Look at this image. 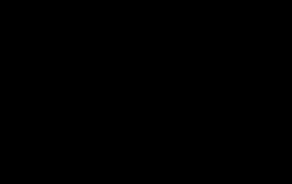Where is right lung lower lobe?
<instances>
[{
    "instance_id": "98d812e1",
    "label": "right lung lower lobe",
    "mask_w": 292,
    "mask_h": 184,
    "mask_svg": "<svg viewBox=\"0 0 292 184\" xmlns=\"http://www.w3.org/2000/svg\"><path fill=\"white\" fill-rule=\"evenodd\" d=\"M138 86L139 83L136 82L121 88L111 97L109 102L97 115L91 117V120H89L90 122L76 126L75 134L79 139L78 144L82 148L99 149L111 141L110 138H98L100 135H97V132L102 128L108 129L110 123L116 118L118 110L122 113L125 106L129 103L135 88ZM104 111H106V113L101 116ZM97 117H99V119ZM102 131L103 129L101 132Z\"/></svg>"
}]
</instances>
